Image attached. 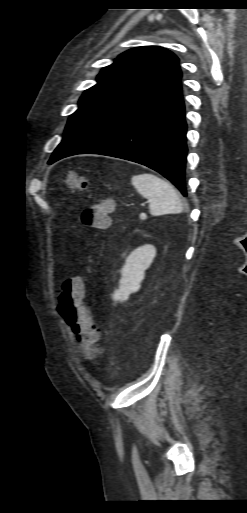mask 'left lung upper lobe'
<instances>
[{
  "mask_svg": "<svg viewBox=\"0 0 247 513\" xmlns=\"http://www.w3.org/2000/svg\"><path fill=\"white\" fill-rule=\"evenodd\" d=\"M179 59L158 46L137 47L102 69L97 84L86 90L66 125L64 139L181 73Z\"/></svg>",
  "mask_w": 247,
  "mask_h": 513,
  "instance_id": "obj_1",
  "label": "left lung upper lobe"
}]
</instances>
